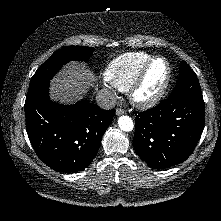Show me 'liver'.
<instances>
[{"label": "liver", "instance_id": "liver-1", "mask_svg": "<svg viewBox=\"0 0 221 221\" xmlns=\"http://www.w3.org/2000/svg\"><path fill=\"white\" fill-rule=\"evenodd\" d=\"M95 80V74L85 65L71 62L51 81V97L62 103H73L87 93Z\"/></svg>", "mask_w": 221, "mask_h": 221}]
</instances>
